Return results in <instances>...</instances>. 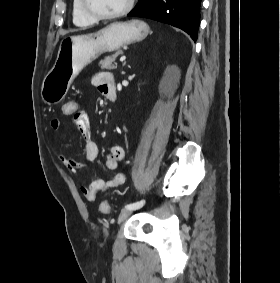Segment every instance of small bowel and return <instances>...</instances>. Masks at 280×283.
Masks as SVG:
<instances>
[{"instance_id":"1","label":"small bowel","mask_w":280,"mask_h":283,"mask_svg":"<svg viewBox=\"0 0 280 283\" xmlns=\"http://www.w3.org/2000/svg\"><path fill=\"white\" fill-rule=\"evenodd\" d=\"M114 82L111 74L103 72L97 74L93 83L98 87L99 91L107 96L110 83ZM75 123L81 125L84 128L85 138V158L87 161H94L98 156V146L91 138V131L89 129V115L85 110L81 112H75V116H72ZM50 126L53 130H59L61 127V121L58 118H53L50 121ZM124 159V150L121 146L115 145L110 149L109 154L106 157V167L110 170L117 168L118 164ZM60 161L64 167L71 173H76L80 169L87 167L85 163L78 162L69 156L61 155ZM125 180V175L122 172H117L108 180L95 179L90 182L88 186H82L81 191L84 197L88 201H94L99 193L105 192L109 189L115 188L121 185Z\"/></svg>"}]
</instances>
